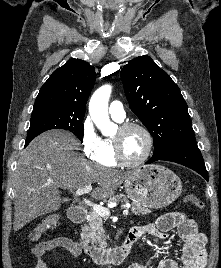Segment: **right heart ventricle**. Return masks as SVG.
<instances>
[{
    "instance_id": "right-heart-ventricle-1",
    "label": "right heart ventricle",
    "mask_w": 221,
    "mask_h": 268,
    "mask_svg": "<svg viewBox=\"0 0 221 268\" xmlns=\"http://www.w3.org/2000/svg\"><path fill=\"white\" fill-rule=\"evenodd\" d=\"M98 163L107 167H114L117 165L112 139H103V151Z\"/></svg>"
}]
</instances>
